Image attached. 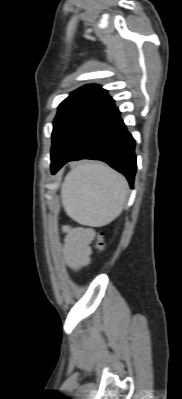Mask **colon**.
<instances>
[{"label": "colon", "instance_id": "1", "mask_svg": "<svg viewBox=\"0 0 182 399\" xmlns=\"http://www.w3.org/2000/svg\"><path fill=\"white\" fill-rule=\"evenodd\" d=\"M104 235V232L100 230L94 236V245L100 253H103L105 250Z\"/></svg>", "mask_w": 182, "mask_h": 399}]
</instances>
